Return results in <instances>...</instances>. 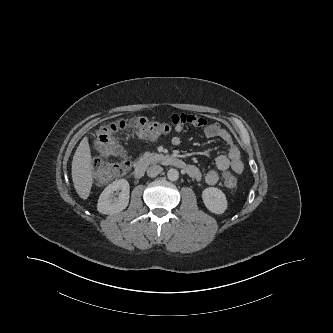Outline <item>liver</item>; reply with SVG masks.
I'll list each match as a JSON object with an SVG mask.
<instances>
[{
	"instance_id": "liver-1",
	"label": "liver",
	"mask_w": 333,
	"mask_h": 333,
	"mask_svg": "<svg viewBox=\"0 0 333 333\" xmlns=\"http://www.w3.org/2000/svg\"><path fill=\"white\" fill-rule=\"evenodd\" d=\"M93 160L88 142V137L85 136L72 160V180L77 194L84 200L89 197L93 184Z\"/></svg>"
}]
</instances>
